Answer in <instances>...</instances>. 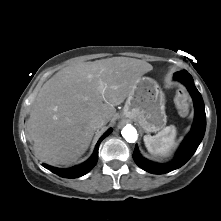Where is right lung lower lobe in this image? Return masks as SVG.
Segmentation results:
<instances>
[{"label":"right lung lower lobe","instance_id":"1","mask_svg":"<svg viewBox=\"0 0 221 221\" xmlns=\"http://www.w3.org/2000/svg\"><path fill=\"white\" fill-rule=\"evenodd\" d=\"M111 131L112 129H109L107 132L103 134V136L97 142L92 156L83 164L72 167V168H68V169L55 168L46 164H42V166L51 170L53 173H57L59 176L64 177V178H78L80 176L85 175L96 165L97 160H98L99 144L106 136H108L111 133Z\"/></svg>","mask_w":221,"mask_h":221}]
</instances>
